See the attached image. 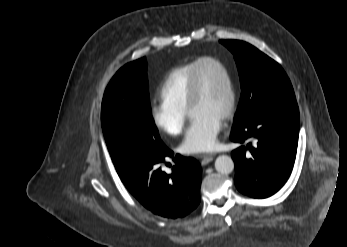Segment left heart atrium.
Segmentation results:
<instances>
[{
  "label": "left heart atrium",
  "instance_id": "39dd6f15",
  "mask_svg": "<svg viewBox=\"0 0 347 247\" xmlns=\"http://www.w3.org/2000/svg\"><path fill=\"white\" fill-rule=\"evenodd\" d=\"M221 129V118L206 114L194 117L180 144V151L193 155L212 150Z\"/></svg>",
  "mask_w": 347,
  "mask_h": 247
}]
</instances>
